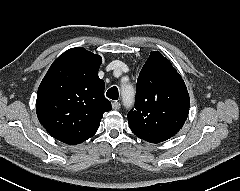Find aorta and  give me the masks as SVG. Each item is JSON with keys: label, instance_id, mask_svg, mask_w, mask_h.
Returning <instances> with one entry per match:
<instances>
[{"label": "aorta", "instance_id": "obj_1", "mask_svg": "<svg viewBox=\"0 0 240 191\" xmlns=\"http://www.w3.org/2000/svg\"><path fill=\"white\" fill-rule=\"evenodd\" d=\"M122 98L124 105L130 107L134 101V90L131 86H124L122 88Z\"/></svg>", "mask_w": 240, "mask_h": 191}]
</instances>
